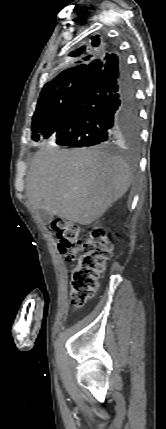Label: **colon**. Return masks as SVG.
<instances>
[{
    "label": "colon",
    "mask_w": 166,
    "mask_h": 429,
    "mask_svg": "<svg viewBox=\"0 0 166 429\" xmlns=\"http://www.w3.org/2000/svg\"><path fill=\"white\" fill-rule=\"evenodd\" d=\"M52 227L58 239V249L67 260L75 259L82 252L71 273V303L82 307L97 290L99 275L112 255V243L101 226L92 229L84 244L74 222L56 219Z\"/></svg>",
    "instance_id": "obj_1"
}]
</instances>
